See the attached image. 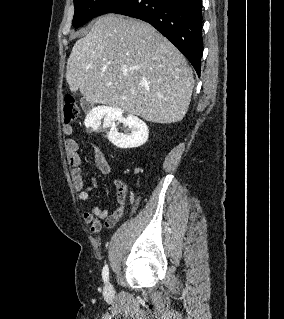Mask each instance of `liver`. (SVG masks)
<instances>
[{
  "instance_id": "obj_1",
  "label": "liver",
  "mask_w": 284,
  "mask_h": 319,
  "mask_svg": "<svg viewBox=\"0 0 284 319\" xmlns=\"http://www.w3.org/2000/svg\"><path fill=\"white\" fill-rule=\"evenodd\" d=\"M71 92L149 122L185 116L194 87L182 53L150 24L108 14L76 41L67 61Z\"/></svg>"
}]
</instances>
